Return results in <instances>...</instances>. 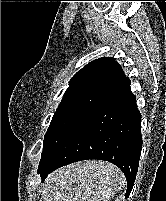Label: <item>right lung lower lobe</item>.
<instances>
[{"label": "right lung lower lobe", "mask_w": 166, "mask_h": 201, "mask_svg": "<svg viewBox=\"0 0 166 201\" xmlns=\"http://www.w3.org/2000/svg\"><path fill=\"white\" fill-rule=\"evenodd\" d=\"M125 78L39 169L42 180L55 169L81 160L102 159L118 166L127 180L128 198L142 149L141 114Z\"/></svg>", "instance_id": "1"}]
</instances>
